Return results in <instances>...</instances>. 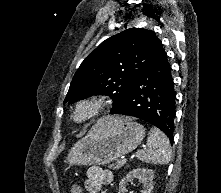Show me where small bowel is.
Returning a JSON list of instances; mask_svg holds the SVG:
<instances>
[{
  "label": "small bowel",
  "instance_id": "1",
  "mask_svg": "<svg viewBox=\"0 0 221 193\" xmlns=\"http://www.w3.org/2000/svg\"><path fill=\"white\" fill-rule=\"evenodd\" d=\"M112 181L113 174L110 170L100 166H92L87 169L84 186L89 193H100L102 187ZM71 193H77V191L72 188Z\"/></svg>",
  "mask_w": 221,
  "mask_h": 193
}]
</instances>
